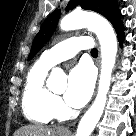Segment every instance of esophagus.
Segmentation results:
<instances>
[{"label": "esophagus", "instance_id": "obj_1", "mask_svg": "<svg viewBox=\"0 0 136 136\" xmlns=\"http://www.w3.org/2000/svg\"><path fill=\"white\" fill-rule=\"evenodd\" d=\"M97 66L98 68H100V56L98 57V60H97ZM72 124H75V122ZM58 131L62 133H69V128L67 126H62L58 129Z\"/></svg>", "mask_w": 136, "mask_h": 136}]
</instances>
